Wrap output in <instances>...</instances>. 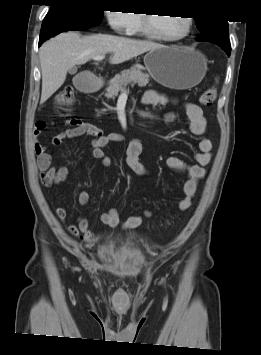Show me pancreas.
<instances>
[{"label":"pancreas","mask_w":261,"mask_h":355,"mask_svg":"<svg viewBox=\"0 0 261 355\" xmlns=\"http://www.w3.org/2000/svg\"><path fill=\"white\" fill-rule=\"evenodd\" d=\"M149 83V75L143 73L141 69L131 67L124 70L121 74L116 75L108 82L105 96L109 98H115L120 91H123V87L128 84H138L140 87H145Z\"/></svg>","instance_id":"cf45deb5"}]
</instances>
